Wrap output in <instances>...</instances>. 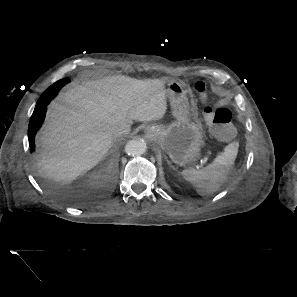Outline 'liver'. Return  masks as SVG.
I'll return each mask as SVG.
<instances>
[{
	"label": "liver",
	"instance_id": "obj_1",
	"mask_svg": "<svg viewBox=\"0 0 297 297\" xmlns=\"http://www.w3.org/2000/svg\"><path fill=\"white\" fill-rule=\"evenodd\" d=\"M165 83L118 75L84 81L62 93L50 104L36 137L38 171L68 186L104 159L116 138L115 125L163 118Z\"/></svg>",
	"mask_w": 297,
	"mask_h": 297
}]
</instances>
